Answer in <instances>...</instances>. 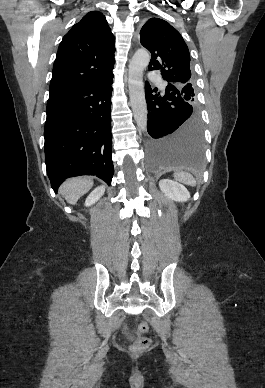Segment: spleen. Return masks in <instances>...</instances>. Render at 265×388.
Wrapping results in <instances>:
<instances>
[{"instance_id": "obj_1", "label": "spleen", "mask_w": 265, "mask_h": 388, "mask_svg": "<svg viewBox=\"0 0 265 388\" xmlns=\"http://www.w3.org/2000/svg\"><path fill=\"white\" fill-rule=\"evenodd\" d=\"M173 178L177 180V182H181V184H187V186H195V178L188 174V172H175Z\"/></svg>"}]
</instances>
